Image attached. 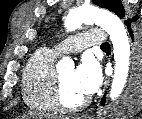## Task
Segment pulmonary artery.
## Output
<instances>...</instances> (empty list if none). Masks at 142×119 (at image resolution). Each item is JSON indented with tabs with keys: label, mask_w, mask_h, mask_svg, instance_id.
Listing matches in <instances>:
<instances>
[{
	"label": "pulmonary artery",
	"mask_w": 142,
	"mask_h": 119,
	"mask_svg": "<svg viewBox=\"0 0 142 119\" xmlns=\"http://www.w3.org/2000/svg\"><path fill=\"white\" fill-rule=\"evenodd\" d=\"M105 43L103 31L99 28H91L88 31L64 39L55 45L58 53H78L86 47Z\"/></svg>",
	"instance_id": "obj_1"
}]
</instances>
